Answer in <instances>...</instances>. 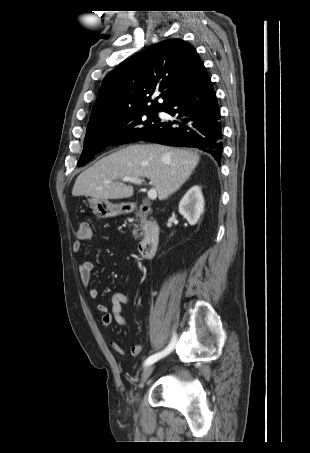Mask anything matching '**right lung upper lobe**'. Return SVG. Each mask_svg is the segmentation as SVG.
<instances>
[{"instance_id":"obj_1","label":"right lung upper lobe","mask_w":310,"mask_h":453,"mask_svg":"<svg viewBox=\"0 0 310 453\" xmlns=\"http://www.w3.org/2000/svg\"><path fill=\"white\" fill-rule=\"evenodd\" d=\"M204 67L195 48L181 39L152 45L119 64L103 80L88 126L140 110H162ZM159 97L151 100L154 92Z\"/></svg>"}]
</instances>
